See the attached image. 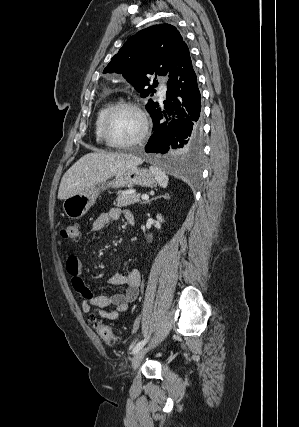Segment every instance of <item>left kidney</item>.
Listing matches in <instances>:
<instances>
[{
    "label": "left kidney",
    "instance_id": "5707ae66",
    "mask_svg": "<svg viewBox=\"0 0 299 427\" xmlns=\"http://www.w3.org/2000/svg\"><path fill=\"white\" fill-rule=\"evenodd\" d=\"M157 220L161 223L164 221L160 214H157Z\"/></svg>",
    "mask_w": 299,
    "mask_h": 427
}]
</instances>
